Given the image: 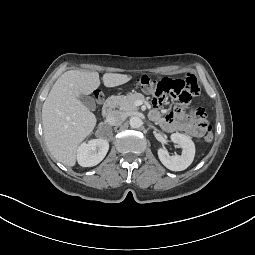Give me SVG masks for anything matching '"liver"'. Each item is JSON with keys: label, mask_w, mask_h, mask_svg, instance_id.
<instances>
[{"label": "liver", "mask_w": 255, "mask_h": 255, "mask_svg": "<svg viewBox=\"0 0 255 255\" xmlns=\"http://www.w3.org/2000/svg\"><path fill=\"white\" fill-rule=\"evenodd\" d=\"M130 76L105 73L106 87L127 83ZM100 86L97 72L69 70L54 83L42 108L44 138L52 156L62 164H76L79 144L93 131L97 119L78 99L89 95Z\"/></svg>", "instance_id": "liver-1"}]
</instances>
